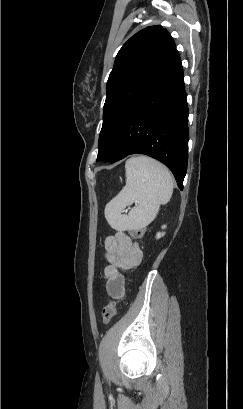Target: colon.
<instances>
[{
	"instance_id": "obj_1",
	"label": "colon",
	"mask_w": 243,
	"mask_h": 409,
	"mask_svg": "<svg viewBox=\"0 0 243 409\" xmlns=\"http://www.w3.org/2000/svg\"><path fill=\"white\" fill-rule=\"evenodd\" d=\"M132 236L134 238H142L144 235V231L142 229H138V230H134L132 231ZM118 303H120L119 300H115V301H111L110 303H108L102 311V318H103V323L105 325H108L112 319L114 318L115 314H116V307L118 305Z\"/></svg>"
}]
</instances>
